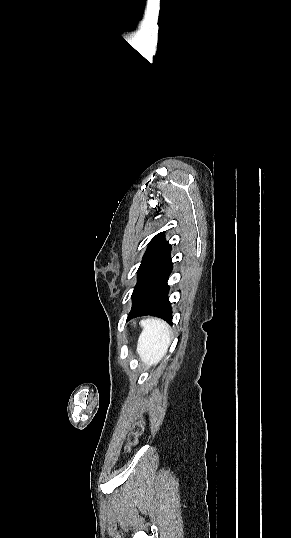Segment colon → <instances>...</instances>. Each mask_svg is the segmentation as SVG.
Masks as SVG:
<instances>
[{
    "label": "colon",
    "instance_id": "colon-1",
    "mask_svg": "<svg viewBox=\"0 0 291 538\" xmlns=\"http://www.w3.org/2000/svg\"><path fill=\"white\" fill-rule=\"evenodd\" d=\"M142 433V426L140 423H138L135 427L134 432L130 435L128 439V449H131L133 446H135L138 443V437Z\"/></svg>",
    "mask_w": 291,
    "mask_h": 538
}]
</instances>
